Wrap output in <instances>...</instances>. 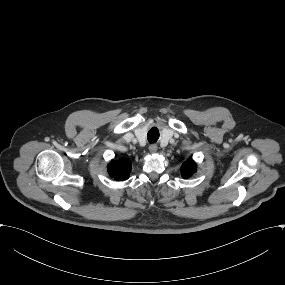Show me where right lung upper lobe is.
<instances>
[{"label":"right lung upper lobe","mask_w":285,"mask_h":285,"mask_svg":"<svg viewBox=\"0 0 285 285\" xmlns=\"http://www.w3.org/2000/svg\"><path fill=\"white\" fill-rule=\"evenodd\" d=\"M130 171L131 163L128 160H112V162L108 165L109 175L118 181L128 179Z\"/></svg>","instance_id":"cb5924a9"}]
</instances>
